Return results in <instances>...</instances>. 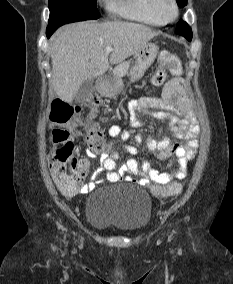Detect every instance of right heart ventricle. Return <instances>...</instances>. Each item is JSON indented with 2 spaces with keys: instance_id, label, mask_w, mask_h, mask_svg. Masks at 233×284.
Instances as JSON below:
<instances>
[{
  "instance_id": "e07e8e85",
  "label": "right heart ventricle",
  "mask_w": 233,
  "mask_h": 284,
  "mask_svg": "<svg viewBox=\"0 0 233 284\" xmlns=\"http://www.w3.org/2000/svg\"><path fill=\"white\" fill-rule=\"evenodd\" d=\"M106 3L112 13L126 20L151 26L165 24L155 13V0H106Z\"/></svg>"
}]
</instances>
